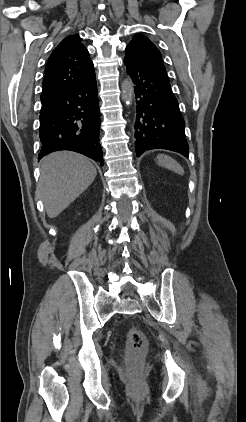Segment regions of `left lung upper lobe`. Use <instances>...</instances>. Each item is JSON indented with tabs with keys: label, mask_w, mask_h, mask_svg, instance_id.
Instances as JSON below:
<instances>
[{
	"label": "left lung upper lobe",
	"mask_w": 246,
	"mask_h": 422,
	"mask_svg": "<svg viewBox=\"0 0 246 422\" xmlns=\"http://www.w3.org/2000/svg\"><path fill=\"white\" fill-rule=\"evenodd\" d=\"M126 52L134 53L155 72L168 79L160 51L146 36L135 35L127 45Z\"/></svg>",
	"instance_id": "left-lung-upper-lobe-1"
}]
</instances>
